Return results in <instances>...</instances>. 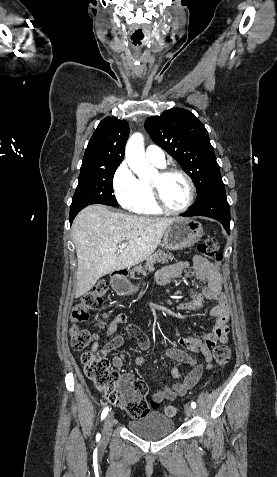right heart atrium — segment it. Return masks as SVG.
<instances>
[{
  "label": "right heart atrium",
  "instance_id": "obj_1",
  "mask_svg": "<svg viewBox=\"0 0 277 477\" xmlns=\"http://www.w3.org/2000/svg\"><path fill=\"white\" fill-rule=\"evenodd\" d=\"M112 185L115 197L124 208H130L138 195V179L126 162H122L114 172Z\"/></svg>",
  "mask_w": 277,
  "mask_h": 477
}]
</instances>
